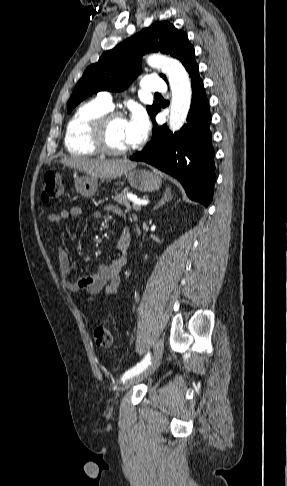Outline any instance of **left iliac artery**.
Returning <instances> with one entry per match:
<instances>
[{
	"label": "left iliac artery",
	"instance_id": "obj_1",
	"mask_svg": "<svg viewBox=\"0 0 287 486\" xmlns=\"http://www.w3.org/2000/svg\"><path fill=\"white\" fill-rule=\"evenodd\" d=\"M150 363H151V355L150 353H148L140 363L130 368L128 371H126L123 374L121 381L125 382V380L129 379L130 377H133L141 373L143 370H145L148 367V365H150Z\"/></svg>",
	"mask_w": 287,
	"mask_h": 486
}]
</instances>
